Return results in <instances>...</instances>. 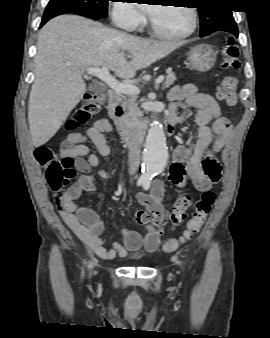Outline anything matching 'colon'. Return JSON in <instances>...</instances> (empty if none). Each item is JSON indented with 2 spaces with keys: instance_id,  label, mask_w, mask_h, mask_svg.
<instances>
[{
  "instance_id": "5ec220e1",
  "label": "colon",
  "mask_w": 270,
  "mask_h": 338,
  "mask_svg": "<svg viewBox=\"0 0 270 338\" xmlns=\"http://www.w3.org/2000/svg\"><path fill=\"white\" fill-rule=\"evenodd\" d=\"M222 52L225 57L224 66L229 69H238L240 62L238 59L239 50L233 37H228L222 44ZM236 78L227 77L218 88V96L224 100L227 105L234 106L237 103L236 96ZM106 105V97L102 93L88 94L83 102L74 111L70 125L79 126L85 124L92 115L98 113ZM230 127L226 118H220L216 123L219 131H224ZM36 162L45 170V178L49 189L54 193L61 192L67 184L74 178L73 169L74 161L71 157L66 156L58 158L55 153L48 147H39L35 151ZM202 168L206 174L213 179H218L220 169L217 162L206 156L202 161ZM215 200L212 191L204 192L196 202L195 210L187 223L186 229L183 231L179 239H166L162 241V251L165 253L173 252L177 249L180 242L190 240L196 235L209 215ZM190 205V198L180 195L170 211V220L174 225L180 224L185 212ZM151 219L150 214L142 212L139 216L140 223H146Z\"/></svg>"
}]
</instances>
